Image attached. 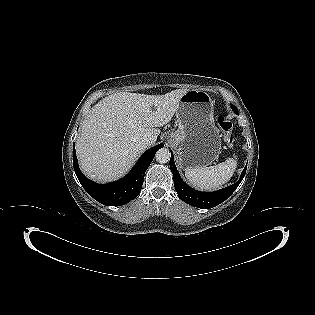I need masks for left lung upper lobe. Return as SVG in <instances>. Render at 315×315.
Wrapping results in <instances>:
<instances>
[{"label": "left lung upper lobe", "mask_w": 315, "mask_h": 315, "mask_svg": "<svg viewBox=\"0 0 315 315\" xmlns=\"http://www.w3.org/2000/svg\"><path fill=\"white\" fill-rule=\"evenodd\" d=\"M232 109L235 111L236 114H238V110L234 105H231Z\"/></svg>", "instance_id": "obj_1"}]
</instances>
